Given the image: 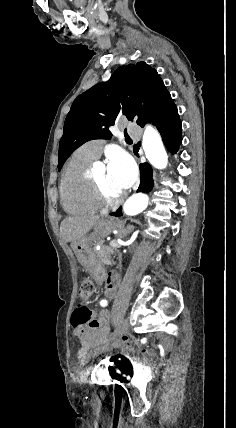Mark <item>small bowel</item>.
Returning <instances> with one entry per match:
<instances>
[{"label": "small bowel", "mask_w": 236, "mask_h": 428, "mask_svg": "<svg viewBox=\"0 0 236 428\" xmlns=\"http://www.w3.org/2000/svg\"><path fill=\"white\" fill-rule=\"evenodd\" d=\"M119 277L115 273L109 274L105 283V294L108 298L116 294L118 287ZM98 324L96 326L89 325V327L82 329L80 332L75 331V336L79 338L82 348L79 352L80 356L86 355L94 347L104 343L107 339V315L104 311L95 315ZM124 346L129 344L127 341H121ZM140 353L144 359L152 358L153 353L147 349H141Z\"/></svg>", "instance_id": "c3829d8e"}]
</instances>
